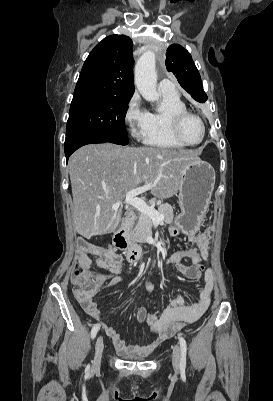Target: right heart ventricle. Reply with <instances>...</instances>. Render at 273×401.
Returning <instances> with one entry per match:
<instances>
[{
	"instance_id": "obj_1",
	"label": "right heart ventricle",
	"mask_w": 273,
	"mask_h": 401,
	"mask_svg": "<svg viewBox=\"0 0 273 401\" xmlns=\"http://www.w3.org/2000/svg\"><path fill=\"white\" fill-rule=\"evenodd\" d=\"M161 101L164 105L162 111L149 112L145 143L147 145L165 148H184L171 133L170 119L172 114L187 110V106L180 94H162Z\"/></svg>"
}]
</instances>
